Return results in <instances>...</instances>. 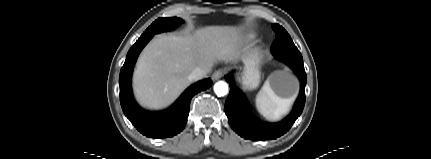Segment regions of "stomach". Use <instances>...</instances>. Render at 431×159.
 <instances>
[{"mask_svg":"<svg viewBox=\"0 0 431 159\" xmlns=\"http://www.w3.org/2000/svg\"><path fill=\"white\" fill-rule=\"evenodd\" d=\"M243 62L245 67L241 78L242 84L246 89H255L260 83L259 57L255 54H248L243 58ZM267 81L280 97H293L298 91L297 80L285 72H275Z\"/></svg>","mask_w":431,"mask_h":159,"instance_id":"0dacf381","label":"stomach"}]
</instances>
